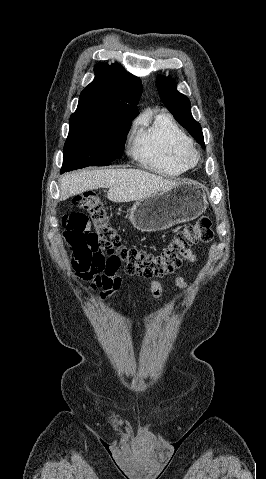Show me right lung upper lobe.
Returning <instances> with one entry per match:
<instances>
[{"label":"right lung upper lobe","instance_id":"obj_1","mask_svg":"<svg viewBox=\"0 0 266 479\" xmlns=\"http://www.w3.org/2000/svg\"><path fill=\"white\" fill-rule=\"evenodd\" d=\"M94 71L95 79L81 92L78 107L70 118L134 119L139 113L135 105L142 93L139 78L117 64L99 63Z\"/></svg>","mask_w":266,"mask_h":479}]
</instances>
